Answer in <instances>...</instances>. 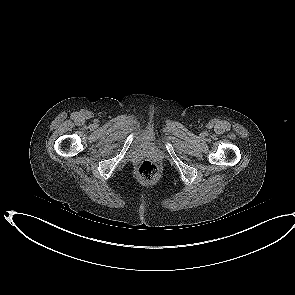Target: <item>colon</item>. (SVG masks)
Listing matches in <instances>:
<instances>
[{"label":"colon","mask_w":295,"mask_h":295,"mask_svg":"<svg viewBox=\"0 0 295 295\" xmlns=\"http://www.w3.org/2000/svg\"><path fill=\"white\" fill-rule=\"evenodd\" d=\"M158 174L157 166L151 161H143L137 169V176L144 183L154 182L158 178Z\"/></svg>","instance_id":"5ec220e1"}]
</instances>
